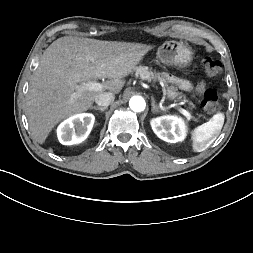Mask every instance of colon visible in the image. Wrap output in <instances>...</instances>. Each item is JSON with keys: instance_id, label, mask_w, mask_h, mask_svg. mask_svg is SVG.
Segmentation results:
<instances>
[{"instance_id": "1", "label": "colon", "mask_w": 253, "mask_h": 253, "mask_svg": "<svg viewBox=\"0 0 253 253\" xmlns=\"http://www.w3.org/2000/svg\"><path fill=\"white\" fill-rule=\"evenodd\" d=\"M202 66L208 76L214 77L221 72V63L213 57H205L202 61ZM203 108L210 113L216 112L219 109L218 94L213 89L205 90L202 99Z\"/></svg>"}]
</instances>
